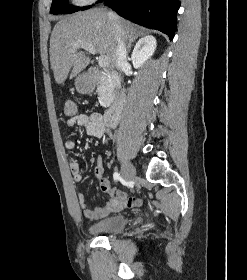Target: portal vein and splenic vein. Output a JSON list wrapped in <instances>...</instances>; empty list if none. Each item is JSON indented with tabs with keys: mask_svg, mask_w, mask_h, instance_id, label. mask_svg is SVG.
I'll list each match as a JSON object with an SVG mask.
<instances>
[{
	"mask_svg": "<svg viewBox=\"0 0 247 280\" xmlns=\"http://www.w3.org/2000/svg\"><path fill=\"white\" fill-rule=\"evenodd\" d=\"M79 48H83V49H85L86 51H88L89 53H92V54H96L97 53L95 47L92 46L91 44H87V43L75 44L71 48V51L77 50ZM98 64L102 68L108 67L109 64H110L108 57L107 56H103V55L99 56L98 57Z\"/></svg>",
	"mask_w": 247,
	"mask_h": 280,
	"instance_id": "portal-vein-and-splenic-vein-1",
	"label": "portal vein and splenic vein"
}]
</instances>
